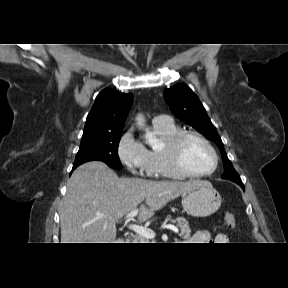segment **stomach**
<instances>
[{
	"mask_svg": "<svg viewBox=\"0 0 288 288\" xmlns=\"http://www.w3.org/2000/svg\"><path fill=\"white\" fill-rule=\"evenodd\" d=\"M220 205V194L207 181H198L191 190L182 195L183 209L193 217L210 216L219 209Z\"/></svg>",
	"mask_w": 288,
	"mask_h": 288,
	"instance_id": "stomach-1",
	"label": "stomach"
}]
</instances>
